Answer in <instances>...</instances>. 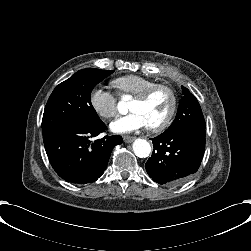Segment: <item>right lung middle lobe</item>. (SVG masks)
Returning a JSON list of instances; mask_svg holds the SVG:
<instances>
[{
  "label": "right lung middle lobe",
  "instance_id": "right-lung-middle-lobe-1",
  "mask_svg": "<svg viewBox=\"0 0 251 251\" xmlns=\"http://www.w3.org/2000/svg\"><path fill=\"white\" fill-rule=\"evenodd\" d=\"M114 70L82 69L60 83L50 95L42 119V133L70 123L90 126L102 121L91 104V92Z\"/></svg>",
  "mask_w": 251,
  "mask_h": 251
}]
</instances>
